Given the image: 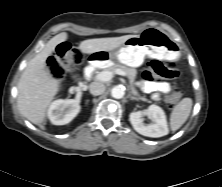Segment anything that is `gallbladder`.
<instances>
[{
	"label": "gallbladder",
	"mask_w": 222,
	"mask_h": 187,
	"mask_svg": "<svg viewBox=\"0 0 222 187\" xmlns=\"http://www.w3.org/2000/svg\"><path fill=\"white\" fill-rule=\"evenodd\" d=\"M68 71H69V72H72V71H73V69L69 68V69H68Z\"/></svg>",
	"instance_id": "1"
}]
</instances>
